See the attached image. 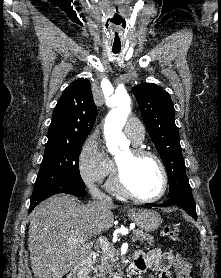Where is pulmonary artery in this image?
<instances>
[{
	"label": "pulmonary artery",
	"mask_w": 221,
	"mask_h": 278,
	"mask_svg": "<svg viewBox=\"0 0 221 278\" xmlns=\"http://www.w3.org/2000/svg\"><path fill=\"white\" fill-rule=\"evenodd\" d=\"M124 130L133 143L138 144L144 140L145 130L140 122L129 120L125 124Z\"/></svg>",
	"instance_id": "e3ab8cb5"
}]
</instances>
